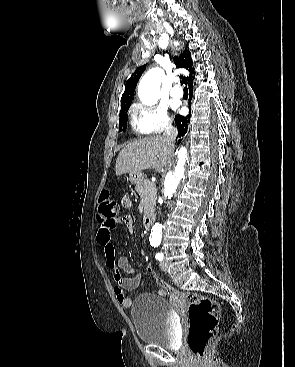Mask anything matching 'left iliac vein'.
<instances>
[{
	"instance_id": "obj_1",
	"label": "left iliac vein",
	"mask_w": 295,
	"mask_h": 367,
	"mask_svg": "<svg viewBox=\"0 0 295 367\" xmlns=\"http://www.w3.org/2000/svg\"><path fill=\"white\" fill-rule=\"evenodd\" d=\"M160 268H161L163 271H165V272H167V271H168L166 261H161V263H160Z\"/></svg>"
}]
</instances>
